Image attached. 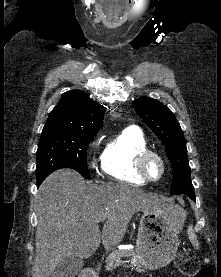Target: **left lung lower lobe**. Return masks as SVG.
<instances>
[{"mask_svg": "<svg viewBox=\"0 0 221 277\" xmlns=\"http://www.w3.org/2000/svg\"><path fill=\"white\" fill-rule=\"evenodd\" d=\"M186 195H188L191 199L195 200L194 191L193 192H189Z\"/></svg>", "mask_w": 221, "mask_h": 277, "instance_id": "1", "label": "left lung lower lobe"}]
</instances>
